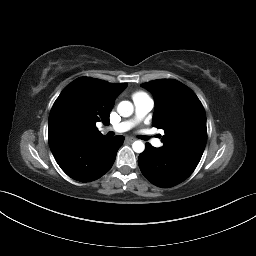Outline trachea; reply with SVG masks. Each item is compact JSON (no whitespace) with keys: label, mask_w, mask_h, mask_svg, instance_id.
<instances>
[{"label":"trachea","mask_w":256,"mask_h":256,"mask_svg":"<svg viewBox=\"0 0 256 256\" xmlns=\"http://www.w3.org/2000/svg\"><path fill=\"white\" fill-rule=\"evenodd\" d=\"M140 139H142V140H147V139H148V136H141Z\"/></svg>","instance_id":"3493384b"}]
</instances>
